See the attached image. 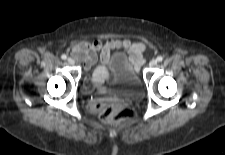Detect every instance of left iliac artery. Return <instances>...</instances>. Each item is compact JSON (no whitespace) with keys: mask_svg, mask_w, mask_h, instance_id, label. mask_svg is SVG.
Returning a JSON list of instances; mask_svg holds the SVG:
<instances>
[{"mask_svg":"<svg viewBox=\"0 0 225 155\" xmlns=\"http://www.w3.org/2000/svg\"><path fill=\"white\" fill-rule=\"evenodd\" d=\"M162 60H163V57H162V56H158V57H157V61H158V62H161Z\"/></svg>","mask_w":225,"mask_h":155,"instance_id":"left-iliac-artery-1","label":"left iliac artery"}]
</instances>
